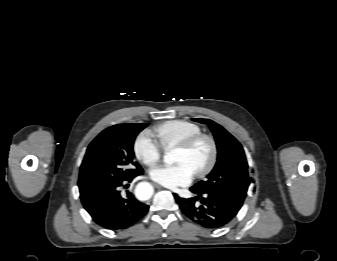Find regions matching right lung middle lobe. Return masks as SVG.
<instances>
[{
	"label": "right lung middle lobe",
	"instance_id": "dd1d6c3e",
	"mask_svg": "<svg viewBox=\"0 0 337 261\" xmlns=\"http://www.w3.org/2000/svg\"><path fill=\"white\" fill-rule=\"evenodd\" d=\"M147 124H118L102 131L88 146L80 167V198L140 173L133 144Z\"/></svg>",
	"mask_w": 337,
	"mask_h": 261
}]
</instances>
